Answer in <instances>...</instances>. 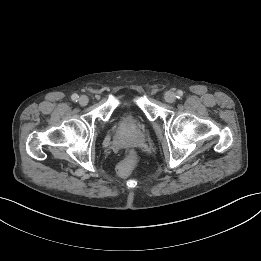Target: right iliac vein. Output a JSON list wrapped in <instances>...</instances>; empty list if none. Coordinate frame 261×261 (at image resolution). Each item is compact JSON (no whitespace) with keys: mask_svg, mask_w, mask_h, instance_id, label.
<instances>
[{"mask_svg":"<svg viewBox=\"0 0 261 261\" xmlns=\"http://www.w3.org/2000/svg\"><path fill=\"white\" fill-rule=\"evenodd\" d=\"M88 101H89V99H88V97L85 96V95H82V96L79 98V104H80L81 106L87 105V104H88Z\"/></svg>","mask_w":261,"mask_h":261,"instance_id":"1","label":"right iliac vein"}]
</instances>
